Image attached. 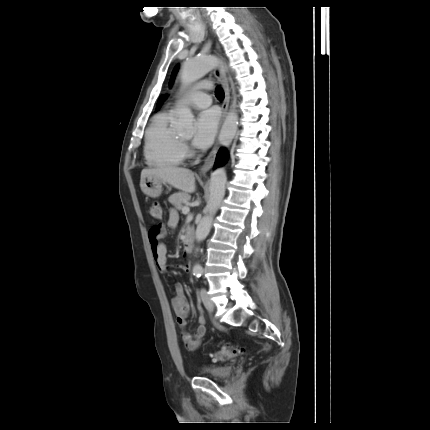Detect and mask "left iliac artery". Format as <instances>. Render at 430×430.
I'll list each match as a JSON object with an SVG mask.
<instances>
[{"label": "left iliac artery", "instance_id": "44dca946", "mask_svg": "<svg viewBox=\"0 0 430 430\" xmlns=\"http://www.w3.org/2000/svg\"><path fill=\"white\" fill-rule=\"evenodd\" d=\"M203 271L201 269L195 270L194 271V275H196V277H200L202 275Z\"/></svg>", "mask_w": 430, "mask_h": 430}]
</instances>
